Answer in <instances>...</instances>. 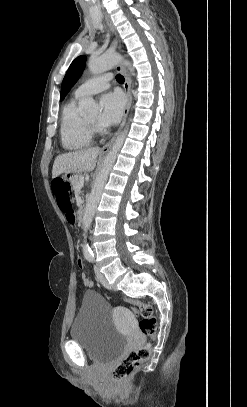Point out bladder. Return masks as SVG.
I'll return each instance as SVG.
<instances>
[{"label":"bladder","instance_id":"bladder-1","mask_svg":"<svg viewBox=\"0 0 247 407\" xmlns=\"http://www.w3.org/2000/svg\"><path fill=\"white\" fill-rule=\"evenodd\" d=\"M113 310L99 293H83L82 306L70 336L93 361L108 362L117 357L126 345L127 335L112 321Z\"/></svg>","mask_w":247,"mask_h":407}]
</instances>
